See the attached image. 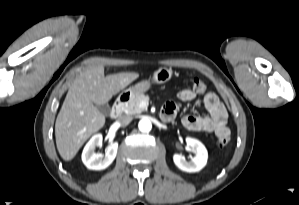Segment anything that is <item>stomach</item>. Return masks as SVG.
<instances>
[{
    "instance_id": "1",
    "label": "stomach",
    "mask_w": 299,
    "mask_h": 205,
    "mask_svg": "<svg viewBox=\"0 0 299 205\" xmlns=\"http://www.w3.org/2000/svg\"><path fill=\"white\" fill-rule=\"evenodd\" d=\"M173 73L174 72L171 68L161 67L154 71L151 79L142 80L129 87L121 93L120 97H123L126 100H132L139 94L148 91L153 84H163L168 82L172 78Z\"/></svg>"
}]
</instances>
